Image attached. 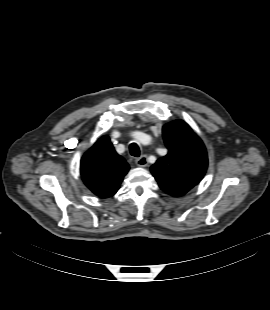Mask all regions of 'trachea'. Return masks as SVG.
I'll use <instances>...</instances> for the list:
<instances>
[{"mask_svg": "<svg viewBox=\"0 0 270 310\" xmlns=\"http://www.w3.org/2000/svg\"><path fill=\"white\" fill-rule=\"evenodd\" d=\"M130 154L134 157L140 156V148L136 143H131L129 146Z\"/></svg>", "mask_w": 270, "mask_h": 310, "instance_id": "3493384b", "label": "trachea"}]
</instances>
